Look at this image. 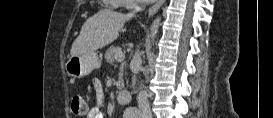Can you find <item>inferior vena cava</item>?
Here are the masks:
<instances>
[{"instance_id":"602c4592","label":"inferior vena cava","mask_w":273,"mask_h":118,"mask_svg":"<svg viewBox=\"0 0 273 118\" xmlns=\"http://www.w3.org/2000/svg\"><path fill=\"white\" fill-rule=\"evenodd\" d=\"M134 13H135V11L130 13L129 15L132 16ZM133 62L137 63V64L141 63V58L138 54V51L135 53V56L133 58ZM137 101H138L139 110L142 114V118H152V113L150 110L149 102H148L146 93L144 91L139 92V94L137 96Z\"/></svg>"}]
</instances>
